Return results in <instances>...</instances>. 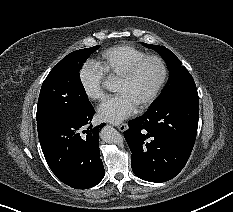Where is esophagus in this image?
<instances>
[{"label":"esophagus","instance_id":"1","mask_svg":"<svg viewBox=\"0 0 233 212\" xmlns=\"http://www.w3.org/2000/svg\"><path fill=\"white\" fill-rule=\"evenodd\" d=\"M117 128L121 131L124 132L128 129V125L126 123H121L119 125H117Z\"/></svg>","mask_w":233,"mask_h":212}]
</instances>
